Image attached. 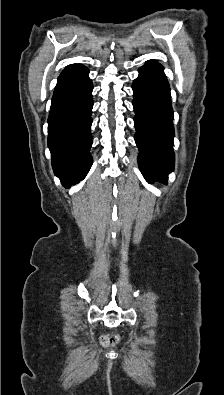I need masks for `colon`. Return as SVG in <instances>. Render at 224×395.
<instances>
[{
	"label": "colon",
	"mask_w": 224,
	"mask_h": 395,
	"mask_svg": "<svg viewBox=\"0 0 224 395\" xmlns=\"http://www.w3.org/2000/svg\"><path fill=\"white\" fill-rule=\"evenodd\" d=\"M117 340L116 336H106L105 337V342L107 344H113Z\"/></svg>",
	"instance_id": "obj_1"
}]
</instances>
